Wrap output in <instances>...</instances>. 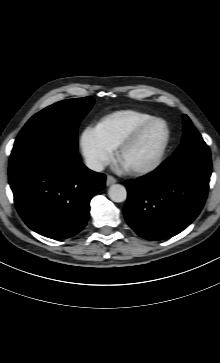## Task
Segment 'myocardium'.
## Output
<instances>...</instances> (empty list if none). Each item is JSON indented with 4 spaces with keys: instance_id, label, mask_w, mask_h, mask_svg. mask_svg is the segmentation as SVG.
Instances as JSON below:
<instances>
[{
    "instance_id": "f54148a6",
    "label": "myocardium",
    "mask_w": 220,
    "mask_h": 363,
    "mask_svg": "<svg viewBox=\"0 0 220 363\" xmlns=\"http://www.w3.org/2000/svg\"><path fill=\"white\" fill-rule=\"evenodd\" d=\"M158 122L163 123L165 126V129H166V135H165L164 141H163L157 155L151 162H149L145 165H142V166H138V167L129 169V171L132 174H137V175L148 174V173L156 170L161 165V163L163 162V159L166 155V152L168 150L170 141H171V129H170L169 124L163 118L154 117V118L142 123L141 125L137 126L135 129H133L117 145L115 156H116L117 160H120L121 155L128 148H130L150 126H152L153 124L158 123Z\"/></svg>"
}]
</instances>
